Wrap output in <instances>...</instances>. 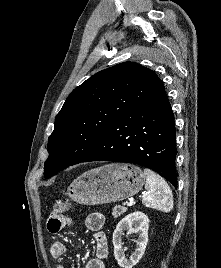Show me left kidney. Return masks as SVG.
<instances>
[{
  "mask_svg": "<svg viewBox=\"0 0 221 268\" xmlns=\"http://www.w3.org/2000/svg\"><path fill=\"white\" fill-rule=\"evenodd\" d=\"M149 218L142 212H134L124 217L116 226L113 233L114 256L122 268H132L142 258L146 245L148 243ZM127 234L138 233V239L135 240L136 249L129 259L125 258L122 250L123 231Z\"/></svg>",
  "mask_w": 221,
  "mask_h": 268,
  "instance_id": "left-kidney-1",
  "label": "left kidney"
}]
</instances>
